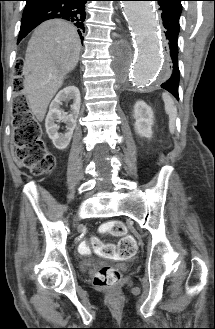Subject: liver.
<instances>
[{"mask_svg":"<svg viewBox=\"0 0 215 329\" xmlns=\"http://www.w3.org/2000/svg\"><path fill=\"white\" fill-rule=\"evenodd\" d=\"M80 50L77 29L67 21L49 20L34 30L26 50L23 84L29 108L39 121L64 77L76 67Z\"/></svg>","mask_w":215,"mask_h":329,"instance_id":"obj_1","label":"liver"}]
</instances>
